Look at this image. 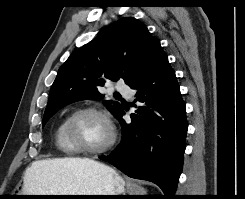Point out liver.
<instances>
[{"label":"liver","mask_w":245,"mask_h":199,"mask_svg":"<svg viewBox=\"0 0 245 199\" xmlns=\"http://www.w3.org/2000/svg\"><path fill=\"white\" fill-rule=\"evenodd\" d=\"M100 165L102 164L89 158L74 157L35 161L25 171L24 186L30 192L55 193L57 188L52 184L53 176L70 174L78 169Z\"/></svg>","instance_id":"6515ba94"}]
</instances>
